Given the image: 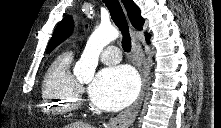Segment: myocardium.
I'll return each mask as SVG.
<instances>
[{"mask_svg":"<svg viewBox=\"0 0 221 128\" xmlns=\"http://www.w3.org/2000/svg\"><path fill=\"white\" fill-rule=\"evenodd\" d=\"M81 102H82L81 99H77L75 105L78 107L81 104Z\"/></svg>","mask_w":221,"mask_h":128,"instance_id":"f54148a6","label":"myocardium"}]
</instances>
